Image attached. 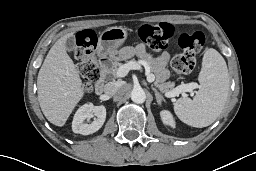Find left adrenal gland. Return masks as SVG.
<instances>
[{"mask_svg":"<svg viewBox=\"0 0 256 171\" xmlns=\"http://www.w3.org/2000/svg\"><path fill=\"white\" fill-rule=\"evenodd\" d=\"M152 90L155 92L156 100L159 105H161L162 101L165 102L164 97L158 92L156 88L153 87V85H152Z\"/></svg>","mask_w":256,"mask_h":171,"instance_id":"a2214340","label":"left adrenal gland"}]
</instances>
